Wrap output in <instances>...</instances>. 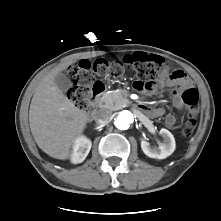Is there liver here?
<instances>
[{
  "label": "liver",
  "instance_id": "obj_1",
  "mask_svg": "<svg viewBox=\"0 0 221 221\" xmlns=\"http://www.w3.org/2000/svg\"><path fill=\"white\" fill-rule=\"evenodd\" d=\"M74 62L60 64L42 77L29 110L30 129L37 145L60 160L69 158L88 121L87 112L76 107L55 84V76Z\"/></svg>",
  "mask_w": 221,
  "mask_h": 221
}]
</instances>
